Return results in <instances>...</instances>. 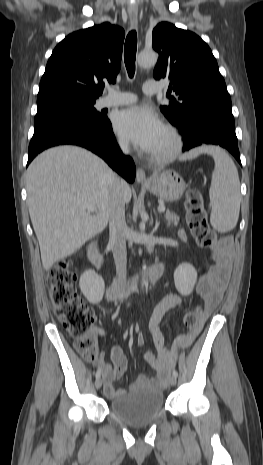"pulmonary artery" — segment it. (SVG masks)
Segmentation results:
<instances>
[{
  "instance_id": "e3ab8cb5",
  "label": "pulmonary artery",
  "mask_w": 263,
  "mask_h": 465,
  "mask_svg": "<svg viewBox=\"0 0 263 465\" xmlns=\"http://www.w3.org/2000/svg\"><path fill=\"white\" fill-rule=\"evenodd\" d=\"M161 87L158 83L154 81H146L143 84V92L146 95H153L160 91ZM110 94L104 97L100 101L102 107H114V106H123L129 105L136 102L137 97L130 92H118L115 90H110Z\"/></svg>"
}]
</instances>
